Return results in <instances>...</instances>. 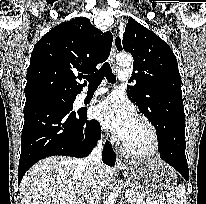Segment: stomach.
<instances>
[{"mask_svg": "<svg viewBox=\"0 0 206 204\" xmlns=\"http://www.w3.org/2000/svg\"><path fill=\"white\" fill-rule=\"evenodd\" d=\"M129 187L143 199L161 200L177 181L175 171L160 160L132 161L122 170Z\"/></svg>", "mask_w": 206, "mask_h": 204, "instance_id": "obj_1", "label": "stomach"}]
</instances>
